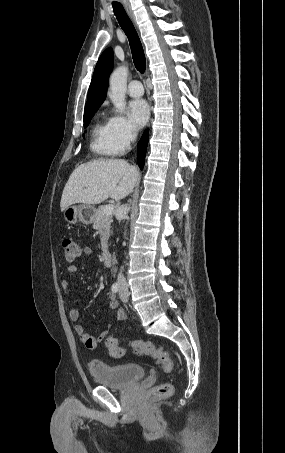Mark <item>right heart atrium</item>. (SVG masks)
I'll return each instance as SVG.
<instances>
[{"label":"right heart atrium","mask_w":285,"mask_h":453,"mask_svg":"<svg viewBox=\"0 0 285 453\" xmlns=\"http://www.w3.org/2000/svg\"><path fill=\"white\" fill-rule=\"evenodd\" d=\"M108 126L114 153L116 155L124 153L136 139V129L123 116L110 117Z\"/></svg>","instance_id":"d8ad5b80"}]
</instances>
